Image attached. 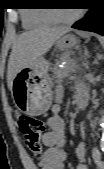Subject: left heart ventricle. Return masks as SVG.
<instances>
[{
  "label": "left heart ventricle",
  "instance_id": "b2bd125f",
  "mask_svg": "<svg viewBox=\"0 0 104 169\" xmlns=\"http://www.w3.org/2000/svg\"><path fill=\"white\" fill-rule=\"evenodd\" d=\"M75 12H76V10H74V9H61V10H58V14H59L61 17H69V16H72Z\"/></svg>",
  "mask_w": 104,
  "mask_h": 169
}]
</instances>
